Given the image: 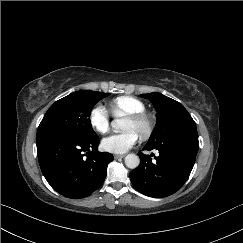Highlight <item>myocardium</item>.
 Instances as JSON below:
<instances>
[{"instance_id":"myocardium-1","label":"myocardium","mask_w":243,"mask_h":243,"mask_svg":"<svg viewBox=\"0 0 243 243\" xmlns=\"http://www.w3.org/2000/svg\"><path fill=\"white\" fill-rule=\"evenodd\" d=\"M126 119L134 123L144 125L143 133L139 136L141 140H147L150 138L155 127V122L154 119L149 114L145 112L134 113V114L127 115Z\"/></svg>"}]
</instances>
